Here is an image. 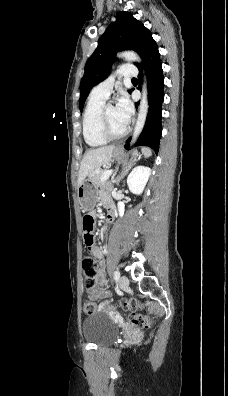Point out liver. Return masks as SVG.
Returning <instances> with one entry per match:
<instances>
[{
    "label": "liver",
    "instance_id": "6515ba94",
    "mask_svg": "<svg viewBox=\"0 0 228 396\" xmlns=\"http://www.w3.org/2000/svg\"><path fill=\"white\" fill-rule=\"evenodd\" d=\"M115 146H103L96 149L88 150L81 161L80 170L78 173V186L85 180V178L111 161Z\"/></svg>",
    "mask_w": 228,
    "mask_h": 396
}]
</instances>
